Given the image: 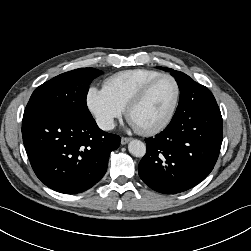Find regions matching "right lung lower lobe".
<instances>
[{
	"instance_id": "1",
	"label": "right lung lower lobe",
	"mask_w": 251,
	"mask_h": 251,
	"mask_svg": "<svg viewBox=\"0 0 251 251\" xmlns=\"http://www.w3.org/2000/svg\"><path fill=\"white\" fill-rule=\"evenodd\" d=\"M22 135L31 166L49 188L76 194L105 174L120 137L102 131L92 116L72 114L41 104H27Z\"/></svg>"
}]
</instances>
